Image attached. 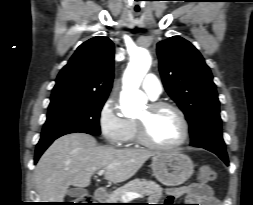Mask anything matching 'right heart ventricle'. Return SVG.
<instances>
[{"mask_svg":"<svg viewBox=\"0 0 253 205\" xmlns=\"http://www.w3.org/2000/svg\"><path fill=\"white\" fill-rule=\"evenodd\" d=\"M129 122H130V127H129V133H128L126 141L136 142L137 141L136 123L134 120H129Z\"/></svg>","mask_w":253,"mask_h":205,"instance_id":"obj_1","label":"right heart ventricle"}]
</instances>
